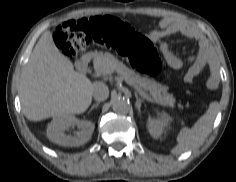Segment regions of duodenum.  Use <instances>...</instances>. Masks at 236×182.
<instances>
[{
  "mask_svg": "<svg viewBox=\"0 0 236 182\" xmlns=\"http://www.w3.org/2000/svg\"><path fill=\"white\" fill-rule=\"evenodd\" d=\"M90 56H83L77 63V69L81 74H86L90 63Z\"/></svg>",
  "mask_w": 236,
  "mask_h": 182,
  "instance_id": "obj_1",
  "label": "duodenum"
}]
</instances>
